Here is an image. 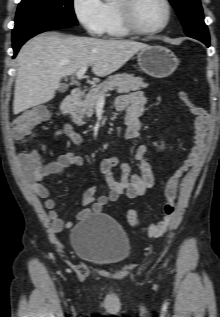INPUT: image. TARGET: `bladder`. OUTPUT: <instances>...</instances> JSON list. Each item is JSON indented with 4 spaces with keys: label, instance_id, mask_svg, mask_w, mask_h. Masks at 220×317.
<instances>
[{
    "label": "bladder",
    "instance_id": "obj_1",
    "mask_svg": "<svg viewBox=\"0 0 220 317\" xmlns=\"http://www.w3.org/2000/svg\"><path fill=\"white\" fill-rule=\"evenodd\" d=\"M70 240L81 260L98 267L121 266L132 254V245L124 229L102 213L90 214L76 224Z\"/></svg>",
    "mask_w": 220,
    "mask_h": 317
}]
</instances>
